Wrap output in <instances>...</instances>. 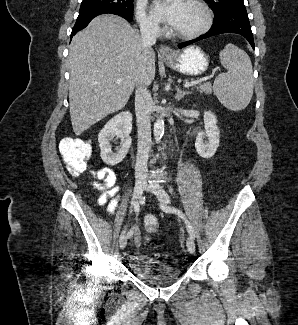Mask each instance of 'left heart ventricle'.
<instances>
[{
	"label": "left heart ventricle",
	"mask_w": 298,
	"mask_h": 325,
	"mask_svg": "<svg viewBox=\"0 0 298 325\" xmlns=\"http://www.w3.org/2000/svg\"><path fill=\"white\" fill-rule=\"evenodd\" d=\"M201 23V16L196 8L188 1L181 2L180 15L177 22L170 29L177 33L189 32L196 29Z\"/></svg>",
	"instance_id": "1"
}]
</instances>
